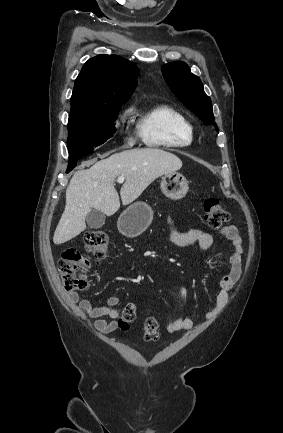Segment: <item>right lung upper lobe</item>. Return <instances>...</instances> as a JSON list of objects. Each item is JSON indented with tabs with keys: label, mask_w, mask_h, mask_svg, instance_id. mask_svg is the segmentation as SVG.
<instances>
[{
	"label": "right lung upper lobe",
	"mask_w": 283,
	"mask_h": 433,
	"mask_svg": "<svg viewBox=\"0 0 283 433\" xmlns=\"http://www.w3.org/2000/svg\"><path fill=\"white\" fill-rule=\"evenodd\" d=\"M137 75V66L120 56L89 59L75 81L71 110L123 105L134 92Z\"/></svg>",
	"instance_id": "1"
}]
</instances>
